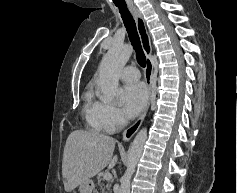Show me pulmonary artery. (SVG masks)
<instances>
[{
	"label": "pulmonary artery",
	"mask_w": 237,
	"mask_h": 193,
	"mask_svg": "<svg viewBox=\"0 0 237 193\" xmlns=\"http://www.w3.org/2000/svg\"><path fill=\"white\" fill-rule=\"evenodd\" d=\"M139 78L140 72L134 66H127L120 73V79L128 84L135 83Z\"/></svg>",
	"instance_id": "e3ab8cb5"
}]
</instances>
